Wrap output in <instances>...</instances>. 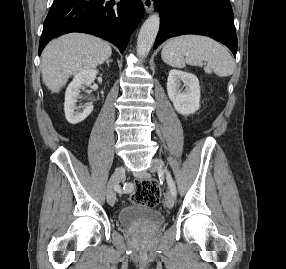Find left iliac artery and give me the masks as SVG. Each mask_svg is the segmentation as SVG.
I'll use <instances>...</instances> for the list:
<instances>
[{
  "instance_id": "obj_1",
  "label": "left iliac artery",
  "mask_w": 286,
  "mask_h": 269,
  "mask_svg": "<svg viewBox=\"0 0 286 269\" xmlns=\"http://www.w3.org/2000/svg\"><path fill=\"white\" fill-rule=\"evenodd\" d=\"M167 173V182H168V185L170 187V190L172 192V194L174 196H176V187H175V183L171 177V175L169 174V172H166Z\"/></svg>"
}]
</instances>
